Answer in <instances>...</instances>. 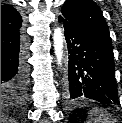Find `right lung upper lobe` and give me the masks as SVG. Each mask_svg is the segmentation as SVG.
I'll return each mask as SVG.
<instances>
[{"label":"right lung upper lobe","mask_w":122,"mask_h":123,"mask_svg":"<svg viewBox=\"0 0 122 123\" xmlns=\"http://www.w3.org/2000/svg\"><path fill=\"white\" fill-rule=\"evenodd\" d=\"M13 24L16 26H21L22 17L19 12L10 5L1 6V25Z\"/></svg>","instance_id":"cb5924a9"}]
</instances>
